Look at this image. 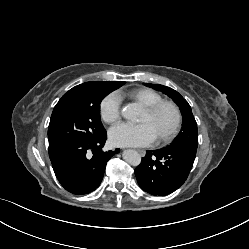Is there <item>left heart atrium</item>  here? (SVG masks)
I'll use <instances>...</instances> for the list:
<instances>
[{
  "label": "left heart atrium",
  "instance_id": "left-heart-atrium-1",
  "mask_svg": "<svg viewBox=\"0 0 249 249\" xmlns=\"http://www.w3.org/2000/svg\"><path fill=\"white\" fill-rule=\"evenodd\" d=\"M156 135L149 123L143 122L138 125L120 123L109 131V140L115 146L139 147L147 146L154 142Z\"/></svg>",
  "mask_w": 249,
  "mask_h": 249
}]
</instances>
